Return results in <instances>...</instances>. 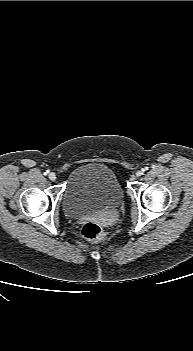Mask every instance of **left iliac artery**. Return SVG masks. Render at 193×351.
Here are the masks:
<instances>
[{"label":"left iliac artery","instance_id":"1","mask_svg":"<svg viewBox=\"0 0 193 351\" xmlns=\"http://www.w3.org/2000/svg\"><path fill=\"white\" fill-rule=\"evenodd\" d=\"M146 170H148V167L142 169L143 172H145Z\"/></svg>","mask_w":193,"mask_h":351}]
</instances>
